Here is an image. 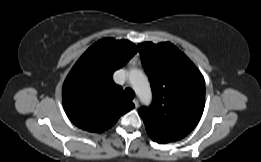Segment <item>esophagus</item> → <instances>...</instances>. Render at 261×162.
Wrapping results in <instances>:
<instances>
[{
  "label": "esophagus",
  "mask_w": 261,
  "mask_h": 162,
  "mask_svg": "<svg viewBox=\"0 0 261 162\" xmlns=\"http://www.w3.org/2000/svg\"><path fill=\"white\" fill-rule=\"evenodd\" d=\"M133 103H134V105H135V108H138V107H139V101H138V99H134V100H133Z\"/></svg>",
  "instance_id": "obj_1"
}]
</instances>
